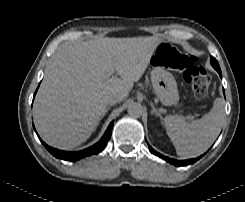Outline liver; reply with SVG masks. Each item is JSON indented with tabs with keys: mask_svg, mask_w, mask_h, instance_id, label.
Here are the masks:
<instances>
[{
	"mask_svg": "<svg viewBox=\"0 0 245 202\" xmlns=\"http://www.w3.org/2000/svg\"><path fill=\"white\" fill-rule=\"evenodd\" d=\"M160 40L156 37L97 38L61 46L36 94L35 126L59 149L85 142L106 110V97L129 95L144 74ZM110 68L120 78L107 77Z\"/></svg>",
	"mask_w": 245,
	"mask_h": 202,
	"instance_id": "1",
	"label": "liver"
}]
</instances>
